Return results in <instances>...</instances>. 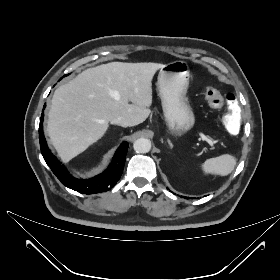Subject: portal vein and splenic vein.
I'll use <instances>...</instances> for the list:
<instances>
[{"label":"portal vein and splenic vein","mask_w":280,"mask_h":280,"mask_svg":"<svg viewBox=\"0 0 280 280\" xmlns=\"http://www.w3.org/2000/svg\"><path fill=\"white\" fill-rule=\"evenodd\" d=\"M200 136L203 140L207 141L211 146H213V141L210 138L205 136L203 133H200Z\"/></svg>","instance_id":"1"}]
</instances>
